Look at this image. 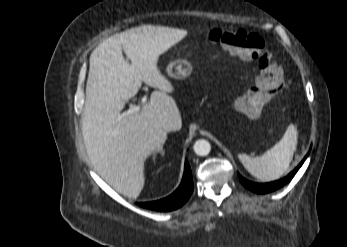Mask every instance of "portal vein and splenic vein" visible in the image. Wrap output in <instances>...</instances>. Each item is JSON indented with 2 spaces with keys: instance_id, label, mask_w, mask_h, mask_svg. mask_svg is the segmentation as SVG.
<instances>
[{
  "instance_id": "18ae733b",
  "label": "portal vein and splenic vein",
  "mask_w": 347,
  "mask_h": 247,
  "mask_svg": "<svg viewBox=\"0 0 347 247\" xmlns=\"http://www.w3.org/2000/svg\"><path fill=\"white\" fill-rule=\"evenodd\" d=\"M146 100H147V97H146V96H143V97L141 98V103H145ZM140 109H141V106H140V105H132L126 112H124V113L118 115L117 120L120 121V120H122L124 117H126V116H128V115H130V114L137 113V112L140 111Z\"/></svg>"
}]
</instances>
